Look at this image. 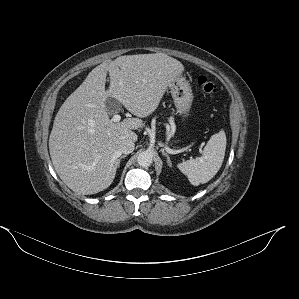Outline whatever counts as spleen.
Wrapping results in <instances>:
<instances>
[{
  "mask_svg": "<svg viewBox=\"0 0 299 299\" xmlns=\"http://www.w3.org/2000/svg\"><path fill=\"white\" fill-rule=\"evenodd\" d=\"M226 150V135L223 130L212 135L203 149L202 156L178 164L179 170L189 182L198 186L211 180L222 166Z\"/></svg>",
  "mask_w": 299,
  "mask_h": 299,
  "instance_id": "obj_1",
  "label": "spleen"
}]
</instances>
